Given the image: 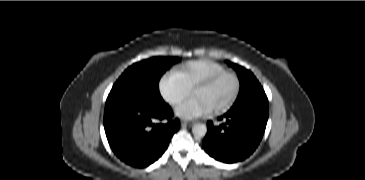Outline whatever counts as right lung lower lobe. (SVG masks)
<instances>
[{"label": "right lung lower lobe", "instance_id": "1", "mask_svg": "<svg viewBox=\"0 0 365 180\" xmlns=\"http://www.w3.org/2000/svg\"><path fill=\"white\" fill-rule=\"evenodd\" d=\"M104 127L114 153L125 163L146 167L167 149L180 121L163 100H128L105 107Z\"/></svg>", "mask_w": 365, "mask_h": 180}]
</instances>
